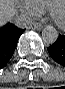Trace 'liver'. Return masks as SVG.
<instances>
[{
    "label": "liver",
    "instance_id": "1",
    "mask_svg": "<svg viewBox=\"0 0 65 89\" xmlns=\"http://www.w3.org/2000/svg\"><path fill=\"white\" fill-rule=\"evenodd\" d=\"M17 14L16 2L14 0H0V24L3 26L11 21Z\"/></svg>",
    "mask_w": 65,
    "mask_h": 89
}]
</instances>
